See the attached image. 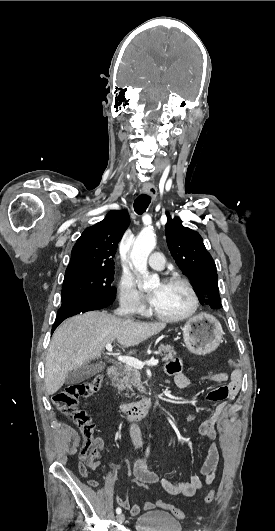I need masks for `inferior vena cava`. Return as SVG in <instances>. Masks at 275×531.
Here are the masks:
<instances>
[{"label":"inferior vena cava","mask_w":275,"mask_h":531,"mask_svg":"<svg viewBox=\"0 0 275 531\" xmlns=\"http://www.w3.org/2000/svg\"><path fill=\"white\" fill-rule=\"evenodd\" d=\"M115 313L116 315H124V309H117ZM129 433L132 445H134L135 449H139V447H142V433L139 425H136V423H132V425H130Z\"/></svg>","instance_id":"obj_1"}]
</instances>
